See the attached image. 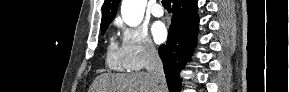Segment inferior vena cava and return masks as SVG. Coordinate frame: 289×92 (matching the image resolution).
Here are the masks:
<instances>
[{
    "instance_id": "obj_1",
    "label": "inferior vena cava",
    "mask_w": 289,
    "mask_h": 92,
    "mask_svg": "<svg viewBox=\"0 0 289 92\" xmlns=\"http://www.w3.org/2000/svg\"><path fill=\"white\" fill-rule=\"evenodd\" d=\"M147 60H146V70L152 76L157 88L160 92L165 91L166 79L163 70L162 61L152 44H147L146 46Z\"/></svg>"
}]
</instances>
